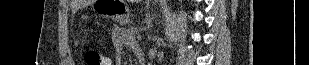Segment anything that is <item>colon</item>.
I'll list each match as a JSON object with an SVG mask.
<instances>
[{"label": "colon", "instance_id": "5ec220e1", "mask_svg": "<svg viewBox=\"0 0 309 65\" xmlns=\"http://www.w3.org/2000/svg\"><path fill=\"white\" fill-rule=\"evenodd\" d=\"M84 59L87 65H103L106 62L104 56L95 49H87L84 53Z\"/></svg>", "mask_w": 309, "mask_h": 65}]
</instances>
